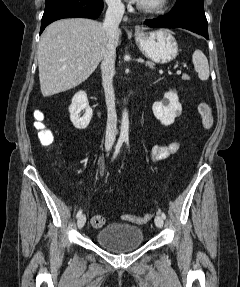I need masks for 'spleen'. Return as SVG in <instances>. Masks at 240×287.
<instances>
[{
    "label": "spleen",
    "mask_w": 240,
    "mask_h": 287,
    "mask_svg": "<svg viewBox=\"0 0 240 287\" xmlns=\"http://www.w3.org/2000/svg\"><path fill=\"white\" fill-rule=\"evenodd\" d=\"M192 61L196 71L198 72L199 79L206 81L209 78V64L207 57L201 50L197 49L193 53Z\"/></svg>",
    "instance_id": "obj_1"
}]
</instances>
